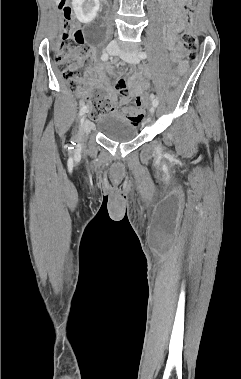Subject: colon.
Returning a JSON list of instances; mask_svg holds the SVG:
<instances>
[{
  "mask_svg": "<svg viewBox=\"0 0 241 379\" xmlns=\"http://www.w3.org/2000/svg\"><path fill=\"white\" fill-rule=\"evenodd\" d=\"M196 1L187 0L183 6V15L188 23L193 20ZM59 9L64 15L66 24L63 41L56 55V63L69 90L82 95L80 91V68L86 59L83 34L81 29L74 24L73 9L65 0L61 1ZM181 39L186 59L190 62L195 61L198 57V39L196 35L192 31H186L182 34ZM171 82L174 86H179L181 83L177 76H172ZM117 87L122 93H125V86L122 82H118ZM152 92V88L144 87L143 92L139 93L141 102L147 103V96ZM84 99L89 105L88 115L92 120H96L103 114L113 110L111 99L104 93L93 91L87 94Z\"/></svg>",
  "mask_w": 241,
  "mask_h": 379,
  "instance_id": "1",
  "label": "colon"
}]
</instances>
